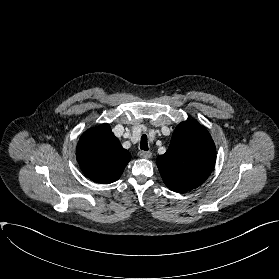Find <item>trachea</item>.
<instances>
[{"label": "trachea", "instance_id": "obj_1", "mask_svg": "<svg viewBox=\"0 0 279 279\" xmlns=\"http://www.w3.org/2000/svg\"><path fill=\"white\" fill-rule=\"evenodd\" d=\"M140 148L144 151H148V142L146 135H142L141 137Z\"/></svg>", "mask_w": 279, "mask_h": 279}]
</instances>
